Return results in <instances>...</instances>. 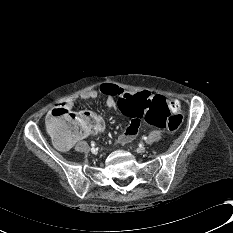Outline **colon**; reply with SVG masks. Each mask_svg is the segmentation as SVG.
Masks as SVG:
<instances>
[{
  "instance_id": "1",
  "label": "colon",
  "mask_w": 233,
  "mask_h": 233,
  "mask_svg": "<svg viewBox=\"0 0 233 233\" xmlns=\"http://www.w3.org/2000/svg\"><path fill=\"white\" fill-rule=\"evenodd\" d=\"M118 106L123 116L136 119L144 115L148 124L170 133L176 132L183 121L177 101L168 105L163 97L153 96L146 90L123 93L119 97ZM47 126L56 138H82L96 131L99 122L89 112L75 114L65 105H56L48 117Z\"/></svg>"
}]
</instances>
